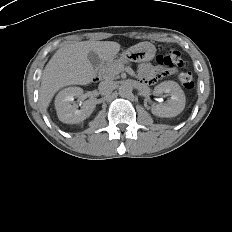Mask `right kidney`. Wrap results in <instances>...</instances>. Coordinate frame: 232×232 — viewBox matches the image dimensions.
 I'll use <instances>...</instances> for the list:
<instances>
[{"instance_id": "ca27d5eb", "label": "right kidney", "mask_w": 232, "mask_h": 232, "mask_svg": "<svg viewBox=\"0 0 232 232\" xmlns=\"http://www.w3.org/2000/svg\"><path fill=\"white\" fill-rule=\"evenodd\" d=\"M82 94L83 89L80 87H68L57 94L55 109L61 122L67 124L80 123L92 114L96 106L94 100H86L80 110L77 109L76 104H71L74 97H79Z\"/></svg>"}]
</instances>
